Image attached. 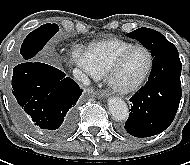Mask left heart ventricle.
Wrapping results in <instances>:
<instances>
[{
	"label": "left heart ventricle",
	"instance_id": "left-heart-ventricle-1",
	"mask_svg": "<svg viewBox=\"0 0 190 165\" xmlns=\"http://www.w3.org/2000/svg\"><path fill=\"white\" fill-rule=\"evenodd\" d=\"M149 57L145 50L135 49L124 59L119 71L115 76L117 83L130 85L141 78L147 69Z\"/></svg>",
	"mask_w": 190,
	"mask_h": 165
}]
</instances>
